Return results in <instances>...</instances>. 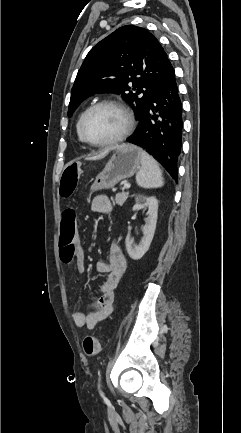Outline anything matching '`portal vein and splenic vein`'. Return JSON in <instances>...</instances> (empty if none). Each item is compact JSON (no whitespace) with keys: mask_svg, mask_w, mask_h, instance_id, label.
<instances>
[{"mask_svg":"<svg viewBox=\"0 0 241 433\" xmlns=\"http://www.w3.org/2000/svg\"><path fill=\"white\" fill-rule=\"evenodd\" d=\"M130 184H128V183H126V184H124V187H123V189H129L130 188Z\"/></svg>","mask_w":241,"mask_h":433,"instance_id":"obj_1","label":"portal vein and splenic vein"}]
</instances>
